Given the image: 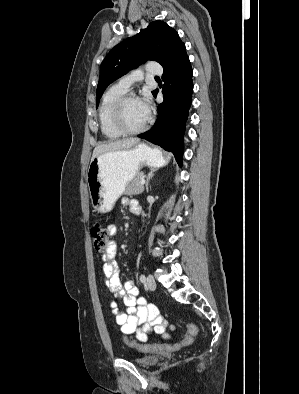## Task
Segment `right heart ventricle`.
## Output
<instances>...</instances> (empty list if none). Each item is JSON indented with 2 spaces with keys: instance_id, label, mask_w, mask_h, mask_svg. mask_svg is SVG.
Here are the masks:
<instances>
[{
  "instance_id": "obj_1",
  "label": "right heart ventricle",
  "mask_w": 299,
  "mask_h": 394,
  "mask_svg": "<svg viewBox=\"0 0 299 394\" xmlns=\"http://www.w3.org/2000/svg\"><path fill=\"white\" fill-rule=\"evenodd\" d=\"M127 91L120 86H111L103 95L99 107V122L102 134L108 139H117L123 134L118 131L111 118L112 108L119 97L124 95Z\"/></svg>"
}]
</instances>
